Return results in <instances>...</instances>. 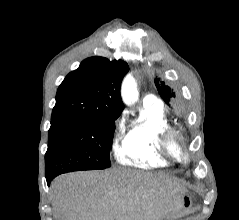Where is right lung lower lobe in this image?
Wrapping results in <instances>:
<instances>
[{"label": "right lung lower lobe", "instance_id": "1", "mask_svg": "<svg viewBox=\"0 0 239 220\" xmlns=\"http://www.w3.org/2000/svg\"><path fill=\"white\" fill-rule=\"evenodd\" d=\"M54 177H46V180H47V184L50 185V182L51 180L53 179Z\"/></svg>", "mask_w": 239, "mask_h": 220}]
</instances>
